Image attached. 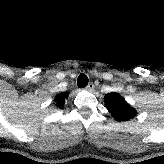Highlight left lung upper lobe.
<instances>
[{
	"mask_svg": "<svg viewBox=\"0 0 164 164\" xmlns=\"http://www.w3.org/2000/svg\"><path fill=\"white\" fill-rule=\"evenodd\" d=\"M105 105L117 121L129 120L137 114L136 110L117 93L105 95Z\"/></svg>",
	"mask_w": 164,
	"mask_h": 164,
	"instance_id": "5c2ea615",
	"label": "left lung upper lobe"
}]
</instances>
